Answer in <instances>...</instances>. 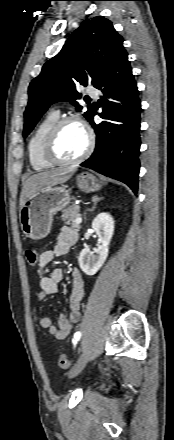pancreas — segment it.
<instances>
[{
  "label": "pancreas",
  "mask_w": 174,
  "mask_h": 440,
  "mask_svg": "<svg viewBox=\"0 0 174 440\" xmlns=\"http://www.w3.org/2000/svg\"><path fill=\"white\" fill-rule=\"evenodd\" d=\"M80 207L78 205H72L65 211H63L61 218L65 225H70L74 231L80 230V225L76 224V218L79 217Z\"/></svg>",
  "instance_id": "obj_1"
}]
</instances>
